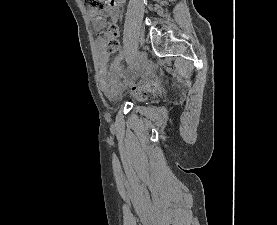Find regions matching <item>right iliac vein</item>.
<instances>
[{
  "mask_svg": "<svg viewBox=\"0 0 277 225\" xmlns=\"http://www.w3.org/2000/svg\"><path fill=\"white\" fill-rule=\"evenodd\" d=\"M147 61V55L145 52H141L138 56L137 71H140L144 68Z\"/></svg>",
  "mask_w": 277,
  "mask_h": 225,
  "instance_id": "63e3f726",
  "label": "right iliac vein"
}]
</instances>
